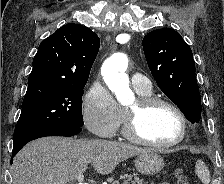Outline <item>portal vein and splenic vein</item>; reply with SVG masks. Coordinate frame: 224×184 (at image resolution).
Here are the masks:
<instances>
[{
    "mask_svg": "<svg viewBox=\"0 0 224 184\" xmlns=\"http://www.w3.org/2000/svg\"><path fill=\"white\" fill-rule=\"evenodd\" d=\"M77 181H78V184H85L84 183V176H83V174H79L77 176Z\"/></svg>",
    "mask_w": 224,
    "mask_h": 184,
    "instance_id": "portal-vein-and-splenic-vein-1",
    "label": "portal vein and splenic vein"
}]
</instances>
